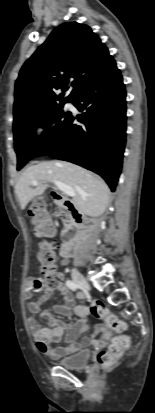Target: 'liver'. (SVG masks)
I'll return each mask as SVG.
<instances>
[{
  "label": "liver",
  "mask_w": 155,
  "mask_h": 413,
  "mask_svg": "<svg viewBox=\"0 0 155 413\" xmlns=\"http://www.w3.org/2000/svg\"><path fill=\"white\" fill-rule=\"evenodd\" d=\"M37 181L34 184L33 181ZM58 180L73 188V204L83 215L98 217L109 204L107 184L92 172L66 161H45L27 168L15 185L21 209L48 188V183Z\"/></svg>",
  "instance_id": "liver-1"
}]
</instances>
